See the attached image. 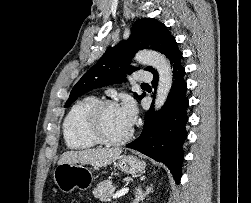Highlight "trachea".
Wrapping results in <instances>:
<instances>
[{
  "instance_id": "3493384b",
  "label": "trachea",
  "mask_w": 251,
  "mask_h": 203,
  "mask_svg": "<svg viewBox=\"0 0 251 203\" xmlns=\"http://www.w3.org/2000/svg\"><path fill=\"white\" fill-rule=\"evenodd\" d=\"M142 86H146V85H148V84H141Z\"/></svg>"
}]
</instances>
